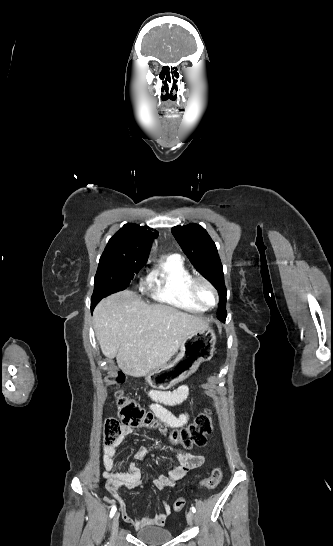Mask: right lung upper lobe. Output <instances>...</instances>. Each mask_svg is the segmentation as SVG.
<instances>
[{"label":"right lung upper lobe","mask_w":333,"mask_h":546,"mask_svg":"<svg viewBox=\"0 0 333 546\" xmlns=\"http://www.w3.org/2000/svg\"><path fill=\"white\" fill-rule=\"evenodd\" d=\"M137 224H125L110 238L101 257L123 259L129 269L140 270L147 262L151 241L158 232L151 233L150 228Z\"/></svg>","instance_id":"obj_1"}]
</instances>
